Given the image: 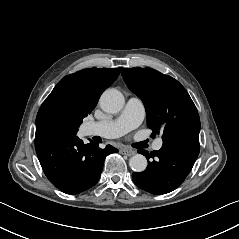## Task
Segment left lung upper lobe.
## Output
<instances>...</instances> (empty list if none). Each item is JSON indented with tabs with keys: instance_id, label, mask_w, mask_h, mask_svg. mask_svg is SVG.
I'll return each mask as SVG.
<instances>
[{
	"instance_id": "obj_1",
	"label": "left lung upper lobe",
	"mask_w": 239,
	"mask_h": 239,
	"mask_svg": "<svg viewBox=\"0 0 239 239\" xmlns=\"http://www.w3.org/2000/svg\"><path fill=\"white\" fill-rule=\"evenodd\" d=\"M128 87L143 101L152 136L162 140L182 136L199 138L198 111L185 88L174 78L151 68H125Z\"/></svg>"
}]
</instances>
